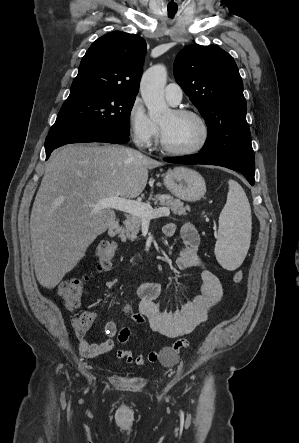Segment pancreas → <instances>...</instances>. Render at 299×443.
<instances>
[{
    "instance_id": "obj_1",
    "label": "pancreas",
    "mask_w": 299,
    "mask_h": 443,
    "mask_svg": "<svg viewBox=\"0 0 299 443\" xmlns=\"http://www.w3.org/2000/svg\"><path fill=\"white\" fill-rule=\"evenodd\" d=\"M150 199L154 201L155 205L159 204L160 206L170 208L173 214L186 215V211H190L189 207H184L183 202L179 199H174L172 196L158 194ZM141 222L142 219L139 216L133 214L127 215V219L124 222L125 228L121 229L119 234L121 240L123 242L126 241V239L134 241L140 231Z\"/></svg>"
}]
</instances>
